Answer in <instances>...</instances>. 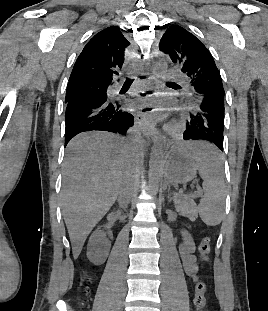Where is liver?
Here are the masks:
<instances>
[{
    "label": "liver",
    "mask_w": 268,
    "mask_h": 311,
    "mask_svg": "<svg viewBox=\"0 0 268 311\" xmlns=\"http://www.w3.org/2000/svg\"><path fill=\"white\" fill-rule=\"evenodd\" d=\"M132 156L131 144L108 132L82 133L69 142L61 199L74 259L117 199Z\"/></svg>",
    "instance_id": "1"
}]
</instances>
